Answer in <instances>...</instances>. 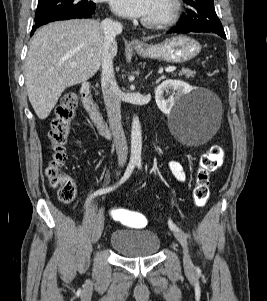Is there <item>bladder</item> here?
I'll return each instance as SVG.
<instances>
[{
  "mask_svg": "<svg viewBox=\"0 0 267 301\" xmlns=\"http://www.w3.org/2000/svg\"><path fill=\"white\" fill-rule=\"evenodd\" d=\"M160 237L152 230L119 229L112 233L111 248L127 258H143L156 254Z\"/></svg>",
  "mask_w": 267,
  "mask_h": 301,
  "instance_id": "31cf9c89",
  "label": "bladder"
}]
</instances>
